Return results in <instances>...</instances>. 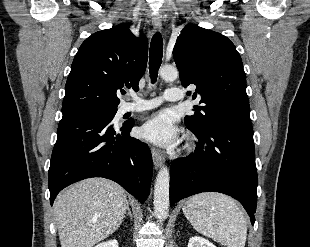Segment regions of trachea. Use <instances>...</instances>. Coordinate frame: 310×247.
I'll list each match as a JSON object with an SVG mask.
<instances>
[{"instance_id":"3493384b","label":"trachea","mask_w":310,"mask_h":247,"mask_svg":"<svg viewBox=\"0 0 310 247\" xmlns=\"http://www.w3.org/2000/svg\"><path fill=\"white\" fill-rule=\"evenodd\" d=\"M163 39L159 32L154 34L149 51V72L152 83H155L158 76V70L162 63Z\"/></svg>"}]
</instances>
